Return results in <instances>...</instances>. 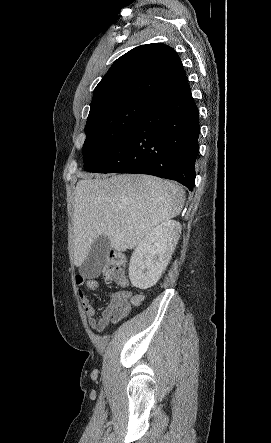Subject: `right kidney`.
<instances>
[{"label": "right kidney", "mask_w": 271, "mask_h": 443, "mask_svg": "<svg viewBox=\"0 0 271 443\" xmlns=\"http://www.w3.org/2000/svg\"><path fill=\"white\" fill-rule=\"evenodd\" d=\"M182 225L165 220L146 233L135 247L129 263V279L134 287L147 289L160 279L180 237Z\"/></svg>", "instance_id": "right-kidney-1"}]
</instances>
